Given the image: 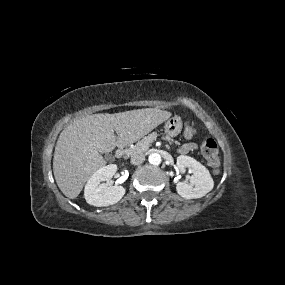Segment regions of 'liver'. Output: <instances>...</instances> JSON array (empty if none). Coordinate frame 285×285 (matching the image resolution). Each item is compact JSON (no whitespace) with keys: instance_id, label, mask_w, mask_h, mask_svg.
I'll use <instances>...</instances> for the list:
<instances>
[{"instance_id":"1","label":"liver","mask_w":285,"mask_h":285,"mask_svg":"<svg viewBox=\"0 0 285 285\" xmlns=\"http://www.w3.org/2000/svg\"><path fill=\"white\" fill-rule=\"evenodd\" d=\"M170 116L168 111L145 108L74 120L60 133L55 146L53 173L59 189L66 197L76 198L85 182L105 166L101 153L136 142Z\"/></svg>"}]
</instances>
